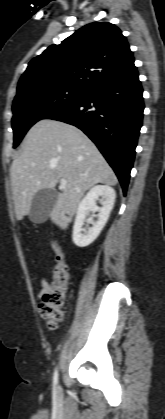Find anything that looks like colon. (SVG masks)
Returning <instances> with one entry per match:
<instances>
[{
    "label": "colon",
    "instance_id": "colon-1",
    "mask_svg": "<svg viewBox=\"0 0 165 419\" xmlns=\"http://www.w3.org/2000/svg\"><path fill=\"white\" fill-rule=\"evenodd\" d=\"M53 248L56 254L53 280L38 306L40 316L46 321L48 328L52 330L58 327L63 318L69 281V271L64 262L63 253L56 242L53 243Z\"/></svg>",
    "mask_w": 165,
    "mask_h": 419
}]
</instances>
